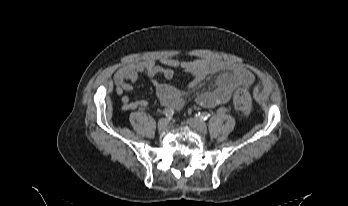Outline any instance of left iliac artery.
I'll use <instances>...</instances> for the list:
<instances>
[{"label": "left iliac artery", "mask_w": 348, "mask_h": 206, "mask_svg": "<svg viewBox=\"0 0 348 206\" xmlns=\"http://www.w3.org/2000/svg\"><path fill=\"white\" fill-rule=\"evenodd\" d=\"M226 112H227V107H222V109H219V114L221 115V116H224L225 114H226ZM207 112H199L198 114H196V117L197 118H199V119H201V120H204L205 121V119H204V115L206 114ZM211 115V114H210ZM212 116V115H211Z\"/></svg>", "instance_id": "1"}]
</instances>
